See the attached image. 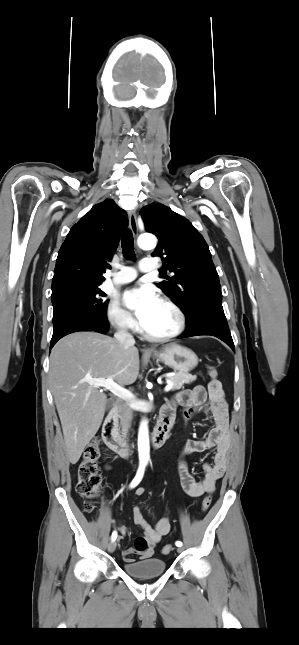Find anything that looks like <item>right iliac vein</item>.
<instances>
[{
	"mask_svg": "<svg viewBox=\"0 0 299 645\" xmlns=\"http://www.w3.org/2000/svg\"><path fill=\"white\" fill-rule=\"evenodd\" d=\"M115 549H116V542H114V541L110 542L109 545H108V551L110 553H113L115 551Z\"/></svg>",
	"mask_w": 299,
	"mask_h": 645,
	"instance_id": "obj_1",
	"label": "right iliac vein"
}]
</instances>
